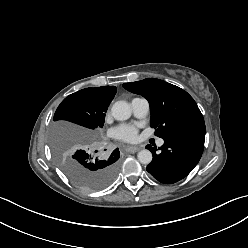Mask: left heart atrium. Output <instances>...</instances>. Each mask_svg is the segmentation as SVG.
<instances>
[{
  "label": "left heart atrium",
  "mask_w": 248,
  "mask_h": 248,
  "mask_svg": "<svg viewBox=\"0 0 248 248\" xmlns=\"http://www.w3.org/2000/svg\"><path fill=\"white\" fill-rule=\"evenodd\" d=\"M113 132L117 139L132 142L137 137L138 128L133 124H121L114 128Z\"/></svg>",
  "instance_id": "39dd6f15"
}]
</instances>
